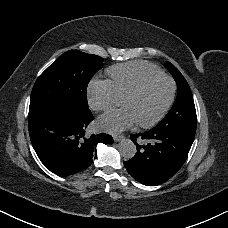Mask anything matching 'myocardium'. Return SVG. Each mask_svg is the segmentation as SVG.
I'll use <instances>...</instances> for the list:
<instances>
[{
	"instance_id": "f54148a6",
	"label": "myocardium",
	"mask_w": 228,
	"mask_h": 228,
	"mask_svg": "<svg viewBox=\"0 0 228 228\" xmlns=\"http://www.w3.org/2000/svg\"><path fill=\"white\" fill-rule=\"evenodd\" d=\"M158 80H166L168 81L169 83V94H168V97L166 99V101L164 102L162 108L160 109V111L158 112V114L150 121L148 122H138V125L140 127H143V128H151L153 126H155L157 123L160 122V120L164 117V115L166 114L167 110L169 109L172 101H173V98H174V91H175V84H174V81L166 76V75H158V76H155V77H151V78H148L146 80H144L139 87H137L133 92L129 93L127 96H126V99H132V98H135L137 97L148 85H150L151 83L155 82V81H158Z\"/></svg>"
}]
</instances>
